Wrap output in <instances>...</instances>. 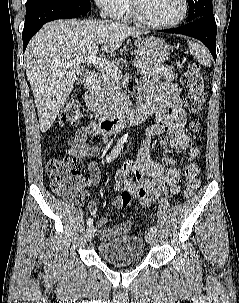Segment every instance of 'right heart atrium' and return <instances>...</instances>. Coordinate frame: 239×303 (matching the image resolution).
<instances>
[{
  "label": "right heart atrium",
  "instance_id": "right-heart-atrium-1",
  "mask_svg": "<svg viewBox=\"0 0 239 303\" xmlns=\"http://www.w3.org/2000/svg\"><path fill=\"white\" fill-rule=\"evenodd\" d=\"M96 4L110 17L119 19L129 9V0H94Z\"/></svg>",
  "mask_w": 239,
  "mask_h": 303
}]
</instances>
